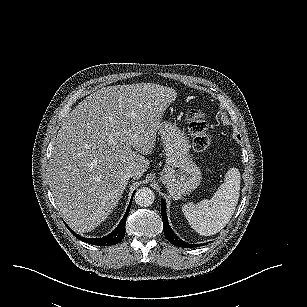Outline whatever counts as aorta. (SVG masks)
Wrapping results in <instances>:
<instances>
[{
    "label": "aorta",
    "mask_w": 307,
    "mask_h": 307,
    "mask_svg": "<svg viewBox=\"0 0 307 307\" xmlns=\"http://www.w3.org/2000/svg\"><path fill=\"white\" fill-rule=\"evenodd\" d=\"M134 199L137 205L141 207H148L154 202L155 195L150 188L142 187L136 191Z\"/></svg>",
    "instance_id": "762f6f07"
}]
</instances>
